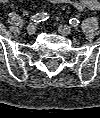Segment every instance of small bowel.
<instances>
[{
	"label": "small bowel",
	"instance_id": "obj_1",
	"mask_svg": "<svg viewBox=\"0 0 100 118\" xmlns=\"http://www.w3.org/2000/svg\"><path fill=\"white\" fill-rule=\"evenodd\" d=\"M10 0H0L2 3H7ZM53 4H69L79 11L83 10H98L100 3L98 0H48Z\"/></svg>",
	"mask_w": 100,
	"mask_h": 118
}]
</instances>
